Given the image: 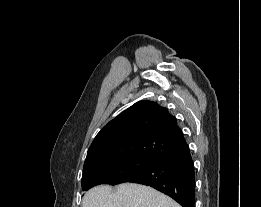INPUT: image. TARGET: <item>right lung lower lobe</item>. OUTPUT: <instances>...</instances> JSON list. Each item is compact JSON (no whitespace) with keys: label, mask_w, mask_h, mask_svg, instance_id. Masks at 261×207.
Wrapping results in <instances>:
<instances>
[{"label":"right lung lower lobe","mask_w":261,"mask_h":207,"mask_svg":"<svg viewBox=\"0 0 261 207\" xmlns=\"http://www.w3.org/2000/svg\"><path fill=\"white\" fill-rule=\"evenodd\" d=\"M124 182L151 186L172 197L182 207H194L195 172L189 147L159 159L121 183Z\"/></svg>","instance_id":"1"}]
</instances>
